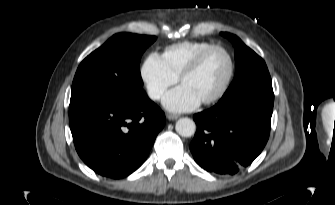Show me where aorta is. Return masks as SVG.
<instances>
[{
  "label": "aorta",
  "mask_w": 335,
  "mask_h": 205,
  "mask_svg": "<svg viewBox=\"0 0 335 205\" xmlns=\"http://www.w3.org/2000/svg\"><path fill=\"white\" fill-rule=\"evenodd\" d=\"M176 132L183 137H191L196 131V125L190 118H180L175 125Z\"/></svg>",
  "instance_id": "1"
}]
</instances>
